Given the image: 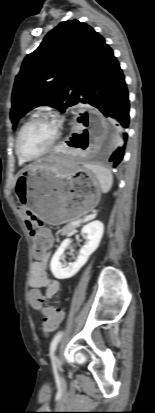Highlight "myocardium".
Wrapping results in <instances>:
<instances>
[{
  "mask_svg": "<svg viewBox=\"0 0 155 413\" xmlns=\"http://www.w3.org/2000/svg\"><path fill=\"white\" fill-rule=\"evenodd\" d=\"M38 120H46V121H51L55 124V135L54 138L52 139V141L50 142V144L41 152L37 153V154H33V155H29L26 154L21 147V139H22V135L24 130L26 129V127L28 125H30L31 123L38 121ZM60 136V130H59V124L57 122V120H55L53 117H51L48 114H36L33 117H31L30 119H28L19 129L18 134H17V138H16V152L18 154V156L20 158H22L25 161H30V160H35L38 159L42 156H44L45 154L49 153L56 145L58 139Z\"/></svg>",
  "mask_w": 155,
  "mask_h": 413,
  "instance_id": "1",
  "label": "myocardium"
}]
</instances>
